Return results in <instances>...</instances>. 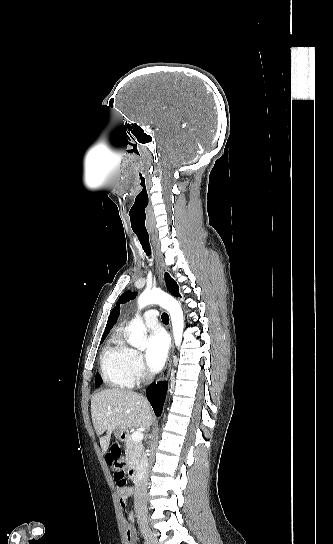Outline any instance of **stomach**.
<instances>
[{"label": "stomach", "mask_w": 333, "mask_h": 544, "mask_svg": "<svg viewBox=\"0 0 333 544\" xmlns=\"http://www.w3.org/2000/svg\"><path fill=\"white\" fill-rule=\"evenodd\" d=\"M125 434V430H116L114 432V435L117 439H122L123 435Z\"/></svg>", "instance_id": "obj_1"}]
</instances>
